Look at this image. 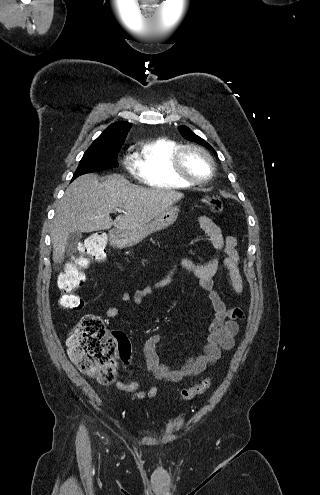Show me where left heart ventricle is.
<instances>
[{
  "instance_id": "left-heart-ventricle-1",
  "label": "left heart ventricle",
  "mask_w": 320,
  "mask_h": 495,
  "mask_svg": "<svg viewBox=\"0 0 320 495\" xmlns=\"http://www.w3.org/2000/svg\"><path fill=\"white\" fill-rule=\"evenodd\" d=\"M185 171L193 177L203 178L209 173V164L205 157L197 151H187L183 157Z\"/></svg>"
}]
</instances>
